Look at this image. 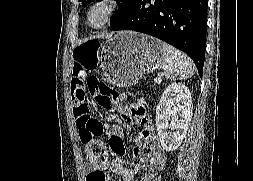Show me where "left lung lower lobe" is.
<instances>
[{
  "label": "left lung lower lobe",
  "instance_id": "1",
  "mask_svg": "<svg viewBox=\"0 0 253 181\" xmlns=\"http://www.w3.org/2000/svg\"><path fill=\"white\" fill-rule=\"evenodd\" d=\"M208 0H135L113 30L146 33L182 50L202 76Z\"/></svg>",
  "mask_w": 253,
  "mask_h": 181
}]
</instances>
